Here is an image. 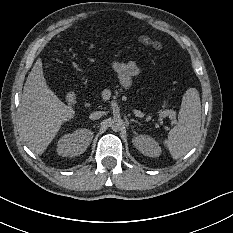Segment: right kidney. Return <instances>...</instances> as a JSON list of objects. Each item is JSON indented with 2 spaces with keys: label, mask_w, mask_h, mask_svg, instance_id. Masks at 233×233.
Returning <instances> with one entry per match:
<instances>
[{
  "label": "right kidney",
  "mask_w": 233,
  "mask_h": 233,
  "mask_svg": "<svg viewBox=\"0 0 233 233\" xmlns=\"http://www.w3.org/2000/svg\"><path fill=\"white\" fill-rule=\"evenodd\" d=\"M93 139L89 129H78L72 134L64 135L57 144V153L63 157H75L85 152Z\"/></svg>",
  "instance_id": "1"
}]
</instances>
